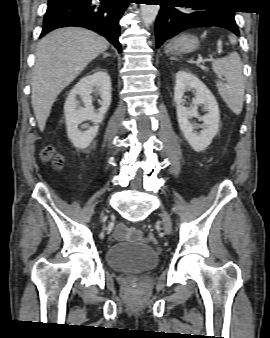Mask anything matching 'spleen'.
<instances>
[{"label": "spleen", "mask_w": 270, "mask_h": 338, "mask_svg": "<svg viewBox=\"0 0 270 338\" xmlns=\"http://www.w3.org/2000/svg\"><path fill=\"white\" fill-rule=\"evenodd\" d=\"M212 66L219 75L226 79V83L221 81L216 83L220 96L233 113L240 114L245 89L240 56L233 51L226 57L216 59Z\"/></svg>", "instance_id": "3e777b00"}]
</instances>
